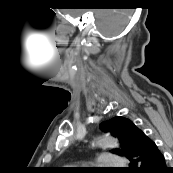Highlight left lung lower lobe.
I'll return each instance as SVG.
<instances>
[{"label":"left lung lower lobe","mask_w":173,"mask_h":173,"mask_svg":"<svg viewBox=\"0 0 173 173\" xmlns=\"http://www.w3.org/2000/svg\"><path fill=\"white\" fill-rule=\"evenodd\" d=\"M130 161L127 173H166L165 159L161 151L145 133H138V142L127 157Z\"/></svg>","instance_id":"obj_1"}]
</instances>
